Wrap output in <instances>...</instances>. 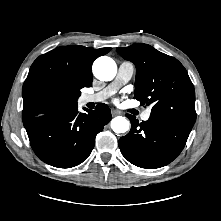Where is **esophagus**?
Wrapping results in <instances>:
<instances>
[{"label":"esophagus","instance_id":"obj_1","mask_svg":"<svg viewBox=\"0 0 221 221\" xmlns=\"http://www.w3.org/2000/svg\"><path fill=\"white\" fill-rule=\"evenodd\" d=\"M111 113H112L113 116H116V115H119L121 112L118 111V110L112 109Z\"/></svg>","mask_w":221,"mask_h":221}]
</instances>
